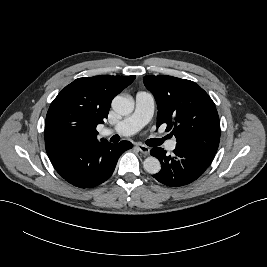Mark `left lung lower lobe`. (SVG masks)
Listing matches in <instances>:
<instances>
[{"instance_id":"left-lung-lower-lobe-1","label":"left lung lower lobe","mask_w":267,"mask_h":267,"mask_svg":"<svg viewBox=\"0 0 267 267\" xmlns=\"http://www.w3.org/2000/svg\"><path fill=\"white\" fill-rule=\"evenodd\" d=\"M151 155L161 162V170L153 177L162 184L180 187L198 179L211 164L216 152L185 145L177 146L172 156L160 147L152 148Z\"/></svg>"}]
</instances>
